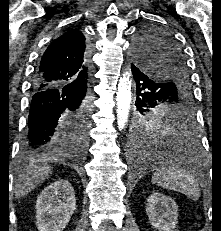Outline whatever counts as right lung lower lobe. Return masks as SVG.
Masks as SVG:
<instances>
[{"label":"right lung lower lobe","mask_w":221,"mask_h":231,"mask_svg":"<svg viewBox=\"0 0 221 231\" xmlns=\"http://www.w3.org/2000/svg\"><path fill=\"white\" fill-rule=\"evenodd\" d=\"M33 92L28 127L20 147L22 158L84 156L86 145L70 132L67 120L90 106V78L85 83L51 85Z\"/></svg>","instance_id":"98d812e1"}]
</instances>
